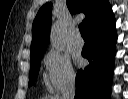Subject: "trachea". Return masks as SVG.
Returning a JSON list of instances; mask_svg holds the SVG:
<instances>
[{"label":"trachea","mask_w":128,"mask_h":99,"mask_svg":"<svg viewBox=\"0 0 128 99\" xmlns=\"http://www.w3.org/2000/svg\"><path fill=\"white\" fill-rule=\"evenodd\" d=\"M79 31H80L82 37H84V36L87 37V29H86V26L84 23H80Z\"/></svg>","instance_id":"1"}]
</instances>
